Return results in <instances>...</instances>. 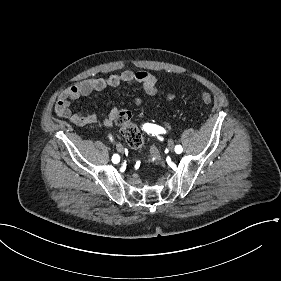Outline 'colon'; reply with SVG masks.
Returning a JSON list of instances; mask_svg holds the SVG:
<instances>
[{
	"label": "colon",
	"mask_w": 281,
	"mask_h": 281,
	"mask_svg": "<svg viewBox=\"0 0 281 281\" xmlns=\"http://www.w3.org/2000/svg\"><path fill=\"white\" fill-rule=\"evenodd\" d=\"M200 100L209 104L212 103L213 96L204 92L200 94ZM115 123L120 127L122 135L133 148L139 149L143 146L144 137L137 125L132 122L128 110H122L115 114Z\"/></svg>",
	"instance_id": "obj_1"
}]
</instances>
